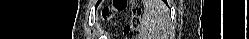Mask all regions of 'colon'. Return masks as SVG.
Instances as JSON below:
<instances>
[{
    "mask_svg": "<svg viewBox=\"0 0 249 39\" xmlns=\"http://www.w3.org/2000/svg\"><path fill=\"white\" fill-rule=\"evenodd\" d=\"M128 1L118 0L115 2L112 9H105L103 12V17L105 20H108L112 17L114 12H121L127 7ZM133 19L132 21L124 28V35L127 39H138L139 38V20L137 19L140 14V10L137 7L132 8Z\"/></svg>",
    "mask_w": 249,
    "mask_h": 39,
    "instance_id": "colon-1",
    "label": "colon"
}]
</instances>
